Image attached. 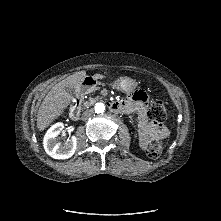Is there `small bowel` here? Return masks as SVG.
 I'll list each match as a JSON object with an SVG mask.
<instances>
[{"label": "small bowel", "instance_id": "1", "mask_svg": "<svg viewBox=\"0 0 221 221\" xmlns=\"http://www.w3.org/2000/svg\"><path fill=\"white\" fill-rule=\"evenodd\" d=\"M147 97L144 92L135 91L125 102L126 113L135 112L137 114V129L139 144L143 149L148 145L167 135V129L158 122L150 121L147 115Z\"/></svg>", "mask_w": 221, "mask_h": 221}]
</instances>
